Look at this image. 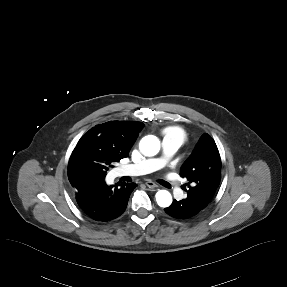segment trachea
Returning a JSON list of instances; mask_svg holds the SVG:
<instances>
[{"instance_id":"trachea-1","label":"trachea","mask_w":287,"mask_h":287,"mask_svg":"<svg viewBox=\"0 0 287 287\" xmlns=\"http://www.w3.org/2000/svg\"><path fill=\"white\" fill-rule=\"evenodd\" d=\"M159 183H160L161 185L165 186V187H169V186H170L168 182L163 181V180H160Z\"/></svg>"}]
</instances>
